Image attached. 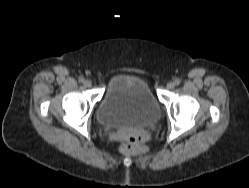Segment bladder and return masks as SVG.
I'll use <instances>...</instances> for the list:
<instances>
[{
	"instance_id": "1",
	"label": "bladder",
	"mask_w": 249,
	"mask_h": 188,
	"mask_svg": "<svg viewBox=\"0 0 249 188\" xmlns=\"http://www.w3.org/2000/svg\"><path fill=\"white\" fill-rule=\"evenodd\" d=\"M159 117L160 106L148 82L128 74L110 81L97 108L98 121L107 127H144Z\"/></svg>"
}]
</instances>
